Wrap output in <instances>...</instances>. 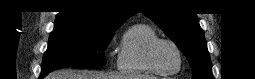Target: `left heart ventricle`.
<instances>
[{"label":"left heart ventricle","mask_w":255,"mask_h":79,"mask_svg":"<svg viewBox=\"0 0 255 79\" xmlns=\"http://www.w3.org/2000/svg\"><path fill=\"white\" fill-rule=\"evenodd\" d=\"M154 57L157 65L164 70L173 71L178 68L179 56L169 44L162 43L158 45L155 49Z\"/></svg>","instance_id":"b2bd125f"}]
</instances>
